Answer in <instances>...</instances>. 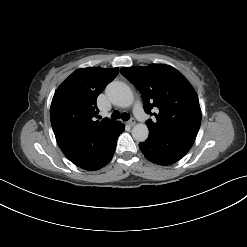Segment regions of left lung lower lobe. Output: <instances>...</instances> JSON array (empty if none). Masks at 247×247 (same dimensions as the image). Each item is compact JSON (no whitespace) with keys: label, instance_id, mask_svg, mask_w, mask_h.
Masks as SVG:
<instances>
[{"label":"left lung lower lobe","instance_id":"1","mask_svg":"<svg viewBox=\"0 0 247 247\" xmlns=\"http://www.w3.org/2000/svg\"><path fill=\"white\" fill-rule=\"evenodd\" d=\"M192 144L149 135L139 144L141 152L151 162L171 165L186 155Z\"/></svg>","mask_w":247,"mask_h":247}]
</instances>
